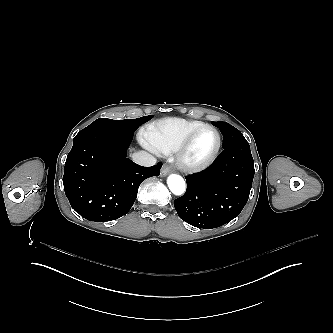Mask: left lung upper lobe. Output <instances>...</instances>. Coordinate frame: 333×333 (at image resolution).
Segmentation results:
<instances>
[{"mask_svg":"<svg viewBox=\"0 0 333 333\" xmlns=\"http://www.w3.org/2000/svg\"><path fill=\"white\" fill-rule=\"evenodd\" d=\"M218 127L223 135V149L238 143L246 141L242 133L227 122H212Z\"/></svg>","mask_w":333,"mask_h":333,"instance_id":"left-lung-upper-lobe-1","label":"left lung upper lobe"}]
</instances>
